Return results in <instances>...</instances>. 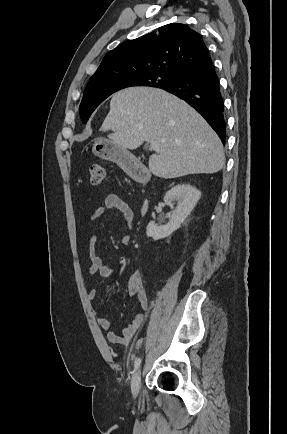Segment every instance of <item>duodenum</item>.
Here are the masks:
<instances>
[{"mask_svg":"<svg viewBox=\"0 0 287 434\" xmlns=\"http://www.w3.org/2000/svg\"><path fill=\"white\" fill-rule=\"evenodd\" d=\"M124 167L129 171L133 179L138 182H148L150 180L149 174L133 157L127 156L122 161ZM148 210V203L145 202L142 206V213L145 214Z\"/></svg>","mask_w":287,"mask_h":434,"instance_id":"duodenum-1","label":"duodenum"}]
</instances>
